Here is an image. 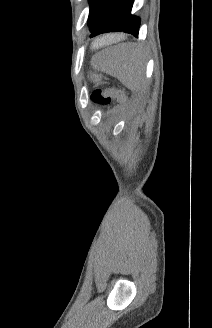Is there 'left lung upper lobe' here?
<instances>
[{"instance_id": "1", "label": "left lung upper lobe", "mask_w": 212, "mask_h": 328, "mask_svg": "<svg viewBox=\"0 0 212 328\" xmlns=\"http://www.w3.org/2000/svg\"><path fill=\"white\" fill-rule=\"evenodd\" d=\"M108 0H89L90 3V13L88 19V25L90 30L94 27L97 19Z\"/></svg>"}]
</instances>
